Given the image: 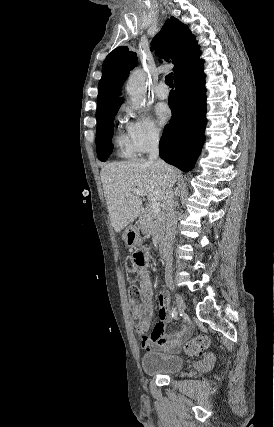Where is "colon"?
<instances>
[{"mask_svg": "<svg viewBox=\"0 0 274 427\" xmlns=\"http://www.w3.org/2000/svg\"><path fill=\"white\" fill-rule=\"evenodd\" d=\"M146 262V254L142 249H136L127 258L126 272L133 283L129 287V305L131 308L139 306L142 302V291L135 284V274L137 270ZM209 346V337L206 334H199L184 344V353L194 355L201 353Z\"/></svg>", "mask_w": 274, "mask_h": 427, "instance_id": "1", "label": "colon"}]
</instances>
